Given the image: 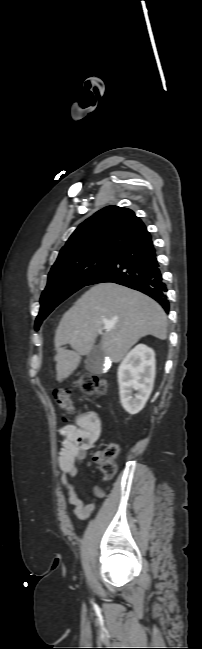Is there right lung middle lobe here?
Listing matches in <instances>:
<instances>
[{
	"mask_svg": "<svg viewBox=\"0 0 202 649\" xmlns=\"http://www.w3.org/2000/svg\"><path fill=\"white\" fill-rule=\"evenodd\" d=\"M117 253L89 251L55 262L48 275V283L41 295L40 312L36 318L35 330L62 301L84 287L99 268Z\"/></svg>",
	"mask_w": 202,
	"mask_h": 649,
	"instance_id": "right-lung-middle-lobe-1",
	"label": "right lung middle lobe"
}]
</instances>
